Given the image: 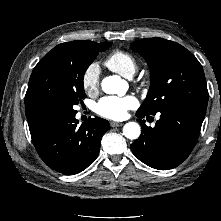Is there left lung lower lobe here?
<instances>
[{
  "mask_svg": "<svg viewBox=\"0 0 221 221\" xmlns=\"http://www.w3.org/2000/svg\"><path fill=\"white\" fill-rule=\"evenodd\" d=\"M206 107L195 103H178L160 111L152 129L139 119L141 136L131 144L133 154L146 165L168 170L180 165L191 153L199 137ZM138 118L146 115L136 112Z\"/></svg>",
  "mask_w": 221,
  "mask_h": 221,
  "instance_id": "1",
  "label": "left lung lower lobe"
}]
</instances>
